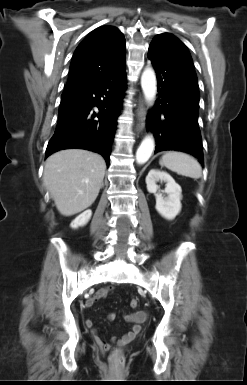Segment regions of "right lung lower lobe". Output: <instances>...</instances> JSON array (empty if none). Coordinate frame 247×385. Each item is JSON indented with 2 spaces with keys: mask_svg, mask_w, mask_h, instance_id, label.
Listing matches in <instances>:
<instances>
[{
  "mask_svg": "<svg viewBox=\"0 0 247 385\" xmlns=\"http://www.w3.org/2000/svg\"><path fill=\"white\" fill-rule=\"evenodd\" d=\"M125 88L124 67L117 74L61 101L58 123L48 143L46 158L62 149L80 148L101 154L109 164ZM94 106L99 109L98 114L93 111Z\"/></svg>",
  "mask_w": 247,
  "mask_h": 385,
  "instance_id": "98d812e1",
  "label": "right lung lower lobe"
}]
</instances>
